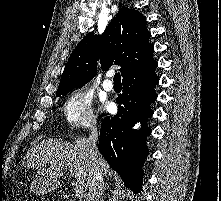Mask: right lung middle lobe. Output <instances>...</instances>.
I'll use <instances>...</instances> for the list:
<instances>
[{
    "label": "right lung middle lobe",
    "mask_w": 221,
    "mask_h": 201,
    "mask_svg": "<svg viewBox=\"0 0 221 201\" xmlns=\"http://www.w3.org/2000/svg\"><path fill=\"white\" fill-rule=\"evenodd\" d=\"M68 92L61 93V94H56V97H60L61 95L65 96Z\"/></svg>",
    "instance_id": "1"
}]
</instances>
